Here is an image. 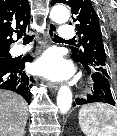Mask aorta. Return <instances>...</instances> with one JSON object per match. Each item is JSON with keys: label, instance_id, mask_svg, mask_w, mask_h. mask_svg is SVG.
Wrapping results in <instances>:
<instances>
[{"label": "aorta", "instance_id": "aorta-1", "mask_svg": "<svg viewBox=\"0 0 117 136\" xmlns=\"http://www.w3.org/2000/svg\"><path fill=\"white\" fill-rule=\"evenodd\" d=\"M51 19L58 23H66L69 20V10L64 6H54L50 12ZM57 105L62 113H66L72 105V92L68 86H62L58 91Z\"/></svg>", "mask_w": 117, "mask_h": 136}]
</instances>
